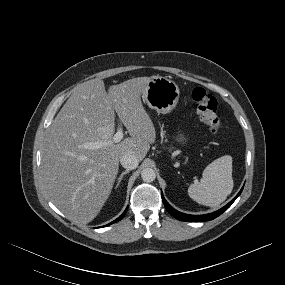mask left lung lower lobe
<instances>
[{
  "label": "left lung lower lobe",
  "mask_w": 285,
  "mask_h": 285,
  "mask_svg": "<svg viewBox=\"0 0 285 285\" xmlns=\"http://www.w3.org/2000/svg\"><path fill=\"white\" fill-rule=\"evenodd\" d=\"M242 190H243V187L240 190V192L235 196V198L231 200L227 205L222 207L221 209L217 210L216 212H213L210 214H204V215H188V214L181 213L169 205V203L165 200L162 193H161V196H162V200H163V203L167 211L171 215H173L176 219L181 220V221H188V222H203V221L212 220L218 217L219 215H221L227 208H229L232 205V203L236 200V198L241 194Z\"/></svg>",
  "instance_id": "left-lung-lower-lobe-1"
}]
</instances>
